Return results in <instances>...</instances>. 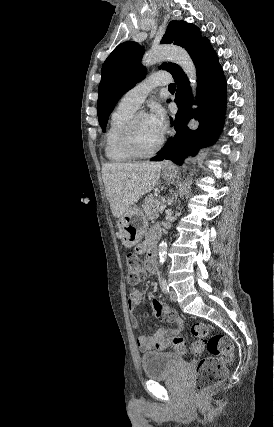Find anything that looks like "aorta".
<instances>
[{
	"instance_id": "762f6f07",
	"label": "aorta",
	"mask_w": 274,
	"mask_h": 427,
	"mask_svg": "<svg viewBox=\"0 0 274 427\" xmlns=\"http://www.w3.org/2000/svg\"><path fill=\"white\" fill-rule=\"evenodd\" d=\"M168 58L171 59L173 63L178 64L187 75L190 81V86L193 94L192 107L193 109H196L197 108L196 98H195L196 92H197L196 68L191 57L189 56V54L185 49L178 46H159L157 48L149 50L143 57L142 63L144 66L149 67ZM198 126H199V122L197 120L195 119L190 120L189 122L190 129L196 130ZM188 161H189L188 159L185 160V164L182 167L184 170H187L188 168ZM158 252H159L160 263L163 264L165 262L166 255H167L166 242L162 241L159 244Z\"/></svg>"
}]
</instances>
